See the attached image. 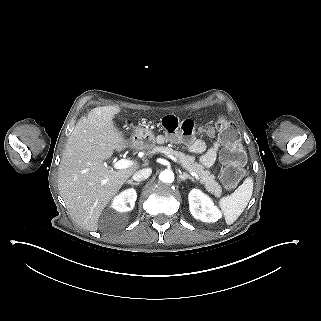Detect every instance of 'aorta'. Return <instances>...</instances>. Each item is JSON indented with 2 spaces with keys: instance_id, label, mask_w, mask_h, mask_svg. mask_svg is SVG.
Listing matches in <instances>:
<instances>
[{
  "instance_id": "aorta-1",
  "label": "aorta",
  "mask_w": 321,
  "mask_h": 321,
  "mask_svg": "<svg viewBox=\"0 0 321 321\" xmlns=\"http://www.w3.org/2000/svg\"><path fill=\"white\" fill-rule=\"evenodd\" d=\"M159 179L164 183H172L174 181V173L170 170H164L160 173Z\"/></svg>"
}]
</instances>
